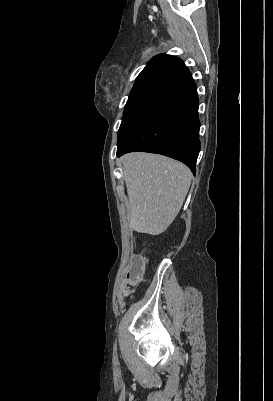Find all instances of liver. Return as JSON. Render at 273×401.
I'll use <instances>...</instances> for the list:
<instances>
[{
	"label": "liver",
	"instance_id": "1",
	"mask_svg": "<svg viewBox=\"0 0 273 401\" xmlns=\"http://www.w3.org/2000/svg\"><path fill=\"white\" fill-rule=\"evenodd\" d=\"M130 205V227L160 235L177 217L191 184L188 166L162 154L129 152L122 156Z\"/></svg>",
	"mask_w": 273,
	"mask_h": 401
}]
</instances>
